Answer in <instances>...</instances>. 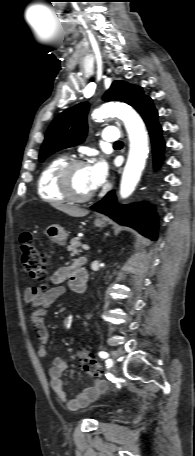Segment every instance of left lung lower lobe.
<instances>
[{
	"mask_svg": "<svg viewBox=\"0 0 195 456\" xmlns=\"http://www.w3.org/2000/svg\"><path fill=\"white\" fill-rule=\"evenodd\" d=\"M137 111L148 127L153 145L154 162L158 165L162 162L165 143L161 137V126L157 122L158 113L151 98L146 99L137 108ZM91 209L109 215L118 223L133 227L152 240H156L157 220L148 204L118 205L112 191L103 200L94 204Z\"/></svg>",
	"mask_w": 195,
	"mask_h": 456,
	"instance_id": "obj_1",
	"label": "left lung lower lobe"
}]
</instances>
